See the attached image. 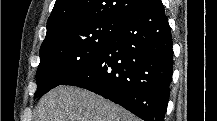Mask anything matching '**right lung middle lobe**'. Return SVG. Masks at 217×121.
I'll use <instances>...</instances> for the list:
<instances>
[{
  "instance_id": "right-lung-middle-lobe-1",
  "label": "right lung middle lobe",
  "mask_w": 217,
  "mask_h": 121,
  "mask_svg": "<svg viewBox=\"0 0 217 121\" xmlns=\"http://www.w3.org/2000/svg\"><path fill=\"white\" fill-rule=\"evenodd\" d=\"M121 24L117 21L83 24L41 46L35 98L96 60Z\"/></svg>"
}]
</instances>
